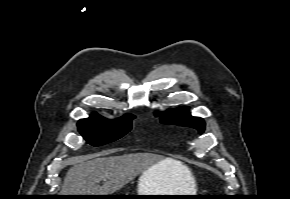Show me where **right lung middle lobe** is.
I'll return each mask as SVG.
<instances>
[{
	"label": "right lung middle lobe",
	"instance_id": "1",
	"mask_svg": "<svg viewBox=\"0 0 290 199\" xmlns=\"http://www.w3.org/2000/svg\"><path fill=\"white\" fill-rule=\"evenodd\" d=\"M135 116H123L114 121H108L99 116H91L79 120L78 131L93 146H101L113 142L131 130Z\"/></svg>",
	"mask_w": 290,
	"mask_h": 199
}]
</instances>
